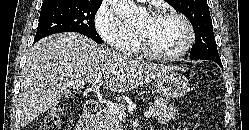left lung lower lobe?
<instances>
[{
  "label": "left lung lower lobe",
  "instance_id": "0a47b994",
  "mask_svg": "<svg viewBox=\"0 0 249 130\" xmlns=\"http://www.w3.org/2000/svg\"><path fill=\"white\" fill-rule=\"evenodd\" d=\"M191 59V58H190ZM192 60H200V59H192ZM212 61H214V62H216L220 67H222V69H223V66H222V63H221V60L220 59H214V60H212Z\"/></svg>",
  "mask_w": 249,
  "mask_h": 130
}]
</instances>
